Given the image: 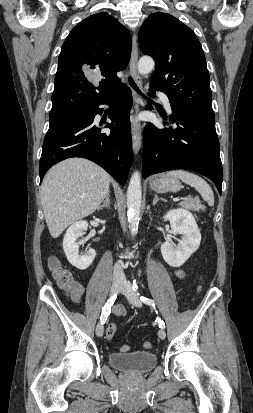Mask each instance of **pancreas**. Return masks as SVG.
I'll list each match as a JSON object with an SVG mask.
<instances>
[{
  "mask_svg": "<svg viewBox=\"0 0 253 413\" xmlns=\"http://www.w3.org/2000/svg\"><path fill=\"white\" fill-rule=\"evenodd\" d=\"M180 205L182 207H185L189 210L196 211V212L200 211L203 208L200 200L196 197L195 198L188 197L187 200L183 201Z\"/></svg>",
  "mask_w": 253,
  "mask_h": 413,
  "instance_id": "pancreas-1",
  "label": "pancreas"
}]
</instances>
